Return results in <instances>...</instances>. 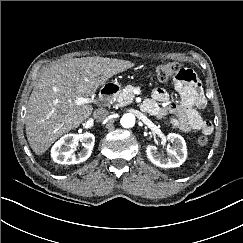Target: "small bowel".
<instances>
[{
    "instance_id": "1",
    "label": "small bowel",
    "mask_w": 243,
    "mask_h": 243,
    "mask_svg": "<svg viewBox=\"0 0 243 243\" xmlns=\"http://www.w3.org/2000/svg\"><path fill=\"white\" fill-rule=\"evenodd\" d=\"M173 88L180 96L179 103H169L168 92L163 88H156L152 99L144 102L143 109L158 118L174 115L173 125L184 132L210 135L213 126L198 111L205 106L206 99L196 75L191 71L190 77L185 80L174 79Z\"/></svg>"
}]
</instances>
